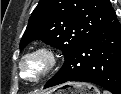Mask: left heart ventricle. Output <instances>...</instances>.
Wrapping results in <instances>:
<instances>
[{"instance_id":"left-heart-ventricle-1","label":"left heart ventricle","mask_w":121,"mask_h":94,"mask_svg":"<svg viewBox=\"0 0 121 94\" xmlns=\"http://www.w3.org/2000/svg\"><path fill=\"white\" fill-rule=\"evenodd\" d=\"M26 76L36 78L43 70V63L40 59H32L25 63Z\"/></svg>"}]
</instances>
